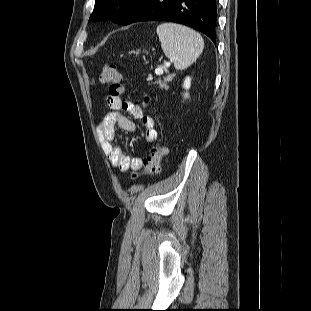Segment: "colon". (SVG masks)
<instances>
[{
  "instance_id": "5ec220e1",
  "label": "colon",
  "mask_w": 311,
  "mask_h": 311,
  "mask_svg": "<svg viewBox=\"0 0 311 311\" xmlns=\"http://www.w3.org/2000/svg\"><path fill=\"white\" fill-rule=\"evenodd\" d=\"M100 82L107 87L111 96L120 97L124 92L122 75L115 64H107L103 67L100 74ZM150 104V98L145 97L144 105ZM167 154V149L162 144H156L151 148L150 154L144 160L145 175H156L161 170V162ZM136 174H134V177Z\"/></svg>"
}]
</instances>
